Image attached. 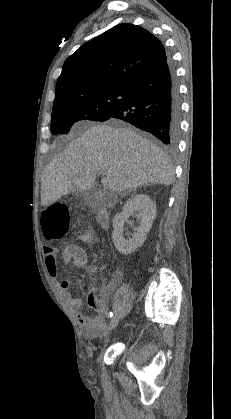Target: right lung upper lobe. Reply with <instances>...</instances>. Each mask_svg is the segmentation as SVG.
Segmentation results:
<instances>
[{"label":"right lung upper lobe","instance_id":"obj_1","mask_svg":"<svg viewBox=\"0 0 231 419\" xmlns=\"http://www.w3.org/2000/svg\"><path fill=\"white\" fill-rule=\"evenodd\" d=\"M166 60L163 44L149 31L119 24L66 59L54 103L104 88L128 89Z\"/></svg>","mask_w":231,"mask_h":419}]
</instances>
